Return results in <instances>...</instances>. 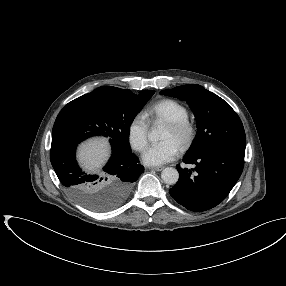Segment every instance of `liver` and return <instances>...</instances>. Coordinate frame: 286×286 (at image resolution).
Masks as SVG:
<instances>
[{"label": "liver", "instance_id": "6515ba94", "mask_svg": "<svg viewBox=\"0 0 286 286\" xmlns=\"http://www.w3.org/2000/svg\"><path fill=\"white\" fill-rule=\"evenodd\" d=\"M109 155V146L104 139H93L82 144L78 158L82 166L89 172L97 171Z\"/></svg>", "mask_w": 286, "mask_h": 286}]
</instances>
